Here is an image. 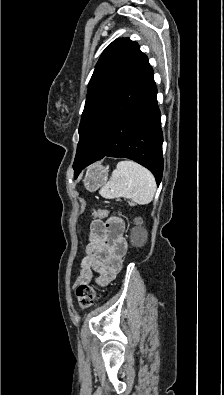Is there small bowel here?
I'll return each mask as SVG.
<instances>
[{
    "mask_svg": "<svg viewBox=\"0 0 224 395\" xmlns=\"http://www.w3.org/2000/svg\"><path fill=\"white\" fill-rule=\"evenodd\" d=\"M115 226H118V230H114ZM123 233L124 223L120 218L112 217L107 222L99 219L92 221L89 243L75 281L76 286L90 282L93 272L97 273V282L101 285L115 277L122 267V257L128 247Z\"/></svg>",
    "mask_w": 224,
    "mask_h": 395,
    "instance_id": "obj_1",
    "label": "small bowel"
}]
</instances>
